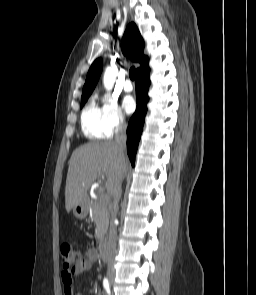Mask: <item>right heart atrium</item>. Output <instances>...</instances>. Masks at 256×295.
Returning a JSON list of instances; mask_svg holds the SVG:
<instances>
[{
  "label": "right heart atrium",
  "instance_id": "obj_1",
  "mask_svg": "<svg viewBox=\"0 0 256 295\" xmlns=\"http://www.w3.org/2000/svg\"><path fill=\"white\" fill-rule=\"evenodd\" d=\"M102 116L108 136L119 132L126 126L125 116L118 103L109 96L102 98Z\"/></svg>",
  "mask_w": 256,
  "mask_h": 295
}]
</instances>
